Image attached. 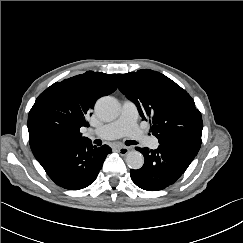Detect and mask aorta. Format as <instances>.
Masks as SVG:
<instances>
[{"mask_svg": "<svg viewBox=\"0 0 243 243\" xmlns=\"http://www.w3.org/2000/svg\"><path fill=\"white\" fill-rule=\"evenodd\" d=\"M95 112L103 121L114 120L119 113L118 102L112 97H102L95 104ZM126 164L129 168L138 170L144 164V157L139 151H130L126 155Z\"/></svg>", "mask_w": 243, "mask_h": 243, "instance_id": "aorta-1", "label": "aorta"}]
</instances>
